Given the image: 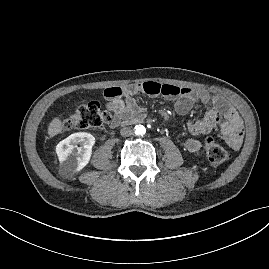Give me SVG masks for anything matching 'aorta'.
Returning <instances> with one entry per match:
<instances>
[{
  "instance_id": "762f6f07",
  "label": "aorta",
  "mask_w": 269,
  "mask_h": 269,
  "mask_svg": "<svg viewBox=\"0 0 269 269\" xmlns=\"http://www.w3.org/2000/svg\"><path fill=\"white\" fill-rule=\"evenodd\" d=\"M134 133L138 136H143L146 133V128L143 125H136Z\"/></svg>"
}]
</instances>
